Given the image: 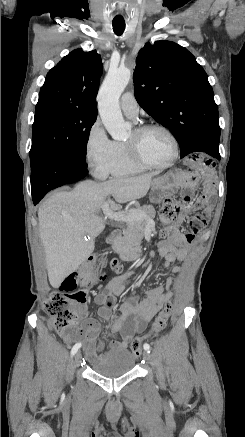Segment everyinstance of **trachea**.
I'll return each mask as SVG.
<instances>
[{
	"mask_svg": "<svg viewBox=\"0 0 245 437\" xmlns=\"http://www.w3.org/2000/svg\"><path fill=\"white\" fill-rule=\"evenodd\" d=\"M113 25V30L114 33L118 36L122 35L124 30H125V22H120V21H113L112 23Z\"/></svg>",
	"mask_w": 245,
	"mask_h": 437,
	"instance_id": "obj_1",
	"label": "trachea"
}]
</instances>
